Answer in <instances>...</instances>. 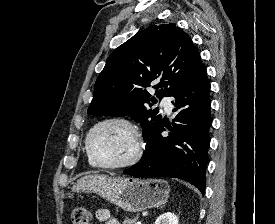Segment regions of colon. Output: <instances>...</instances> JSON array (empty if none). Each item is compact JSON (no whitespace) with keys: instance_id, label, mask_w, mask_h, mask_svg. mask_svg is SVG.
I'll return each mask as SVG.
<instances>
[{"instance_id":"colon-1","label":"colon","mask_w":275,"mask_h":224,"mask_svg":"<svg viewBox=\"0 0 275 224\" xmlns=\"http://www.w3.org/2000/svg\"><path fill=\"white\" fill-rule=\"evenodd\" d=\"M72 224H91V214L83 206L74 208L71 214Z\"/></svg>"}]
</instances>
